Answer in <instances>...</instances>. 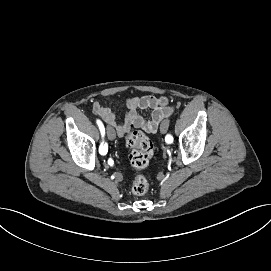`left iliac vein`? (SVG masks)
<instances>
[{
	"label": "left iliac vein",
	"instance_id": "1",
	"mask_svg": "<svg viewBox=\"0 0 271 271\" xmlns=\"http://www.w3.org/2000/svg\"><path fill=\"white\" fill-rule=\"evenodd\" d=\"M168 125H169V122L167 120L163 121L160 125V131L162 133H166L168 131Z\"/></svg>",
	"mask_w": 271,
	"mask_h": 271
}]
</instances>
